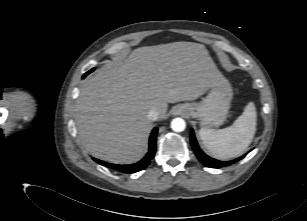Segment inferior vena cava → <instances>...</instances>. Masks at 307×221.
Masks as SVG:
<instances>
[{
	"instance_id": "obj_1",
	"label": "inferior vena cava",
	"mask_w": 307,
	"mask_h": 221,
	"mask_svg": "<svg viewBox=\"0 0 307 221\" xmlns=\"http://www.w3.org/2000/svg\"><path fill=\"white\" fill-rule=\"evenodd\" d=\"M147 116H148V118H149L150 120L156 121V120L159 119V112H158V110H156V109H152V110L149 111V113H148Z\"/></svg>"
}]
</instances>
